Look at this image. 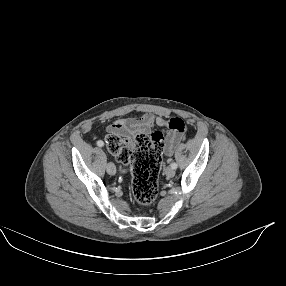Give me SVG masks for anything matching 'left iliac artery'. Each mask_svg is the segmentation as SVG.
Here are the masks:
<instances>
[{
	"label": "left iliac artery",
	"mask_w": 286,
	"mask_h": 286,
	"mask_svg": "<svg viewBox=\"0 0 286 286\" xmlns=\"http://www.w3.org/2000/svg\"><path fill=\"white\" fill-rule=\"evenodd\" d=\"M171 167H172L173 169H176V168H177V164H176L175 162H172V163H171Z\"/></svg>",
	"instance_id": "left-iliac-artery-1"
}]
</instances>
